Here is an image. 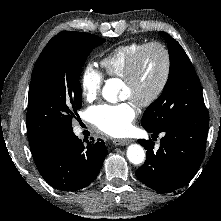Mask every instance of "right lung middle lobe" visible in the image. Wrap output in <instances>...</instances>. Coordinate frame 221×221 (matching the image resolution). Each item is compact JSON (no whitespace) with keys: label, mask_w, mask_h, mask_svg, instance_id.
I'll list each match as a JSON object with an SVG mask.
<instances>
[{"label":"right lung middle lobe","mask_w":221,"mask_h":221,"mask_svg":"<svg viewBox=\"0 0 221 221\" xmlns=\"http://www.w3.org/2000/svg\"><path fill=\"white\" fill-rule=\"evenodd\" d=\"M104 41L90 33L64 31L43 49L32 72L28 95L30 145L72 131V119L82 104V66L92 49Z\"/></svg>","instance_id":"1"}]
</instances>
